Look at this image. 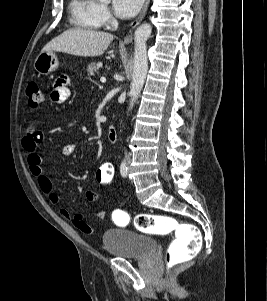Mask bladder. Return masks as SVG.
I'll return each mask as SVG.
<instances>
[{
  "label": "bladder",
  "mask_w": 267,
  "mask_h": 301,
  "mask_svg": "<svg viewBox=\"0 0 267 301\" xmlns=\"http://www.w3.org/2000/svg\"><path fill=\"white\" fill-rule=\"evenodd\" d=\"M103 248L111 255L126 259H142L157 249L154 238L122 228H110L102 235Z\"/></svg>",
  "instance_id": "31cf9c89"
}]
</instances>
